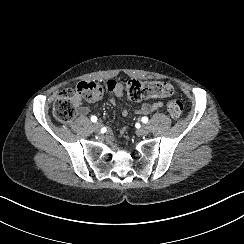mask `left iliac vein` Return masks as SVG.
<instances>
[{"instance_id": "4c4485c4", "label": "left iliac vein", "mask_w": 244, "mask_h": 244, "mask_svg": "<svg viewBox=\"0 0 244 244\" xmlns=\"http://www.w3.org/2000/svg\"><path fill=\"white\" fill-rule=\"evenodd\" d=\"M149 127L147 126V124L143 125L140 129H139V134L141 135H147L149 133Z\"/></svg>"}]
</instances>
